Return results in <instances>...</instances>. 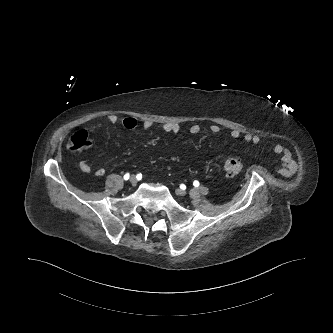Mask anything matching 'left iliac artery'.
<instances>
[{"mask_svg": "<svg viewBox=\"0 0 333 333\" xmlns=\"http://www.w3.org/2000/svg\"><path fill=\"white\" fill-rule=\"evenodd\" d=\"M193 185H194L195 187H198V186L200 185V183H199V181L195 180V181L193 182Z\"/></svg>", "mask_w": 333, "mask_h": 333, "instance_id": "obj_1", "label": "left iliac artery"}]
</instances>
